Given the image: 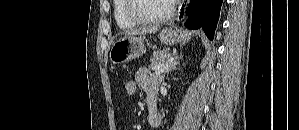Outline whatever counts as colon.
Returning <instances> with one entry per match:
<instances>
[{"label": "colon", "instance_id": "obj_1", "mask_svg": "<svg viewBox=\"0 0 299 130\" xmlns=\"http://www.w3.org/2000/svg\"><path fill=\"white\" fill-rule=\"evenodd\" d=\"M138 88H139L138 83H137L135 77L128 79L124 85V90H125L126 96L129 98L133 97L137 93Z\"/></svg>", "mask_w": 299, "mask_h": 130}]
</instances>
